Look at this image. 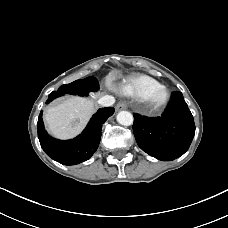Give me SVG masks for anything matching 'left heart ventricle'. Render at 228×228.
<instances>
[{"label": "left heart ventricle", "mask_w": 228, "mask_h": 228, "mask_svg": "<svg viewBox=\"0 0 228 228\" xmlns=\"http://www.w3.org/2000/svg\"><path fill=\"white\" fill-rule=\"evenodd\" d=\"M161 98V95H157L156 99L159 100Z\"/></svg>", "instance_id": "obj_1"}]
</instances>
